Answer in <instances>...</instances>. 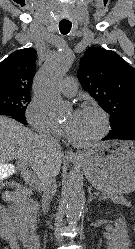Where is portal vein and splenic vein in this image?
<instances>
[{
	"instance_id": "18ae733b",
	"label": "portal vein and splenic vein",
	"mask_w": 135,
	"mask_h": 249,
	"mask_svg": "<svg viewBox=\"0 0 135 249\" xmlns=\"http://www.w3.org/2000/svg\"><path fill=\"white\" fill-rule=\"evenodd\" d=\"M18 166L21 170V174L25 181H27L30 185H33L35 182V177L32 172L28 170V163L24 161L18 162ZM15 168L11 164L0 165V176L6 177L14 172ZM106 196H103V199H106Z\"/></svg>"
}]
</instances>
